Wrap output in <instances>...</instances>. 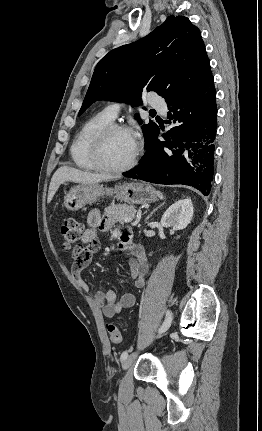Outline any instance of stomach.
<instances>
[{"instance_id":"obj_1","label":"stomach","mask_w":262,"mask_h":431,"mask_svg":"<svg viewBox=\"0 0 262 431\" xmlns=\"http://www.w3.org/2000/svg\"><path fill=\"white\" fill-rule=\"evenodd\" d=\"M128 204L150 203L157 199L152 186L142 182H129L108 188L98 183L80 184L70 189L64 197V206L71 211L79 210L86 204L96 202L104 196H113Z\"/></svg>"}]
</instances>
